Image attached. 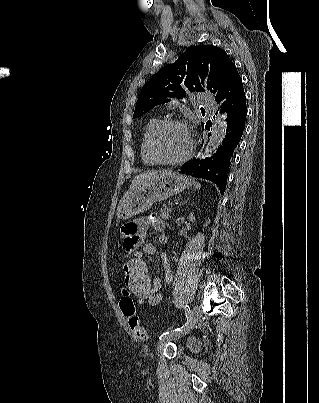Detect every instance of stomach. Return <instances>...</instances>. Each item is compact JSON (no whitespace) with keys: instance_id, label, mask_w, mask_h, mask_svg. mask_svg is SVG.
I'll list each match as a JSON object with an SVG mask.
<instances>
[{"instance_id":"obj_1","label":"stomach","mask_w":319,"mask_h":403,"mask_svg":"<svg viewBox=\"0 0 319 403\" xmlns=\"http://www.w3.org/2000/svg\"><path fill=\"white\" fill-rule=\"evenodd\" d=\"M187 176L166 171L151 176L131 188L121 200L117 217L129 219L148 210L155 202H160L179 194L192 185Z\"/></svg>"}]
</instances>
